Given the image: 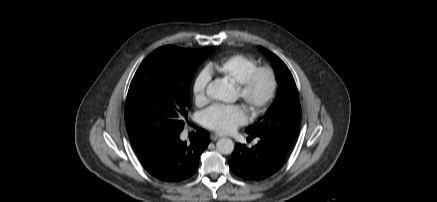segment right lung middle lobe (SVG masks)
<instances>
[{
	"label": "right lung middle lobe",
	"mask_w": 437,
	"mask_h": 202,
	"mask_svg": "<svg viewBox=\"0 0 437 202\" xmlns=\"http://www.w3.org/2000/svg\"><path fill=\"white\" fill-rule=\"evenodd\" d=\"M212 52L213 48L186 50L168 45L141 63L125 103V121L137 153L183 130L192 77Z\"/></svg>",
	"instance_id": "dd1d6c3e"
}]
</instances>
